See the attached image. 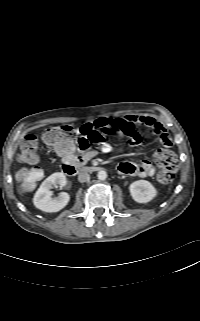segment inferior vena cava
<instances>
[{
    "label": "inferior vena cava",
    "mask_w": 200,
    "mask_h": 321,
    "mask_svg": "<svg viewBox=\"0 0 200 321\" xmlns=\"http://www.w3.org/2000/svg\"><path fill=\"white\" fill-rule=\"evenodd\" d=\"M89 179H90V175L87 172H81L78 175V181L81 183L89 181Z\"/></svg>",
    "instance_id": "602c4592"
}]
</instances>
